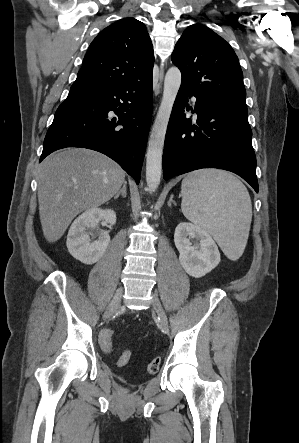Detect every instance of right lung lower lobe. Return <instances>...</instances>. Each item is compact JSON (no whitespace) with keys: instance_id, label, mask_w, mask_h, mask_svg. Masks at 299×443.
<instances>
[{"instance_id":"1","label":"right lung lower lobe","mask_w":299,"mask_h":443,"mask_svg":"<svg viewBox=\"0 0 299 443\" xmlns=\"http://www.w3.org/2000/svg\"><path fill=\"white\" fill-rule=\"evenodd\" d=\"M152 76L93 89H71L44 139L40 162L53 151H99L140 182L153 106Z\"/></svg>"}]
</instances>
